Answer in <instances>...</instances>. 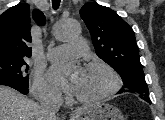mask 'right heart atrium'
I'll list each match as a JSON object with an SVG mask.
<instances>
[{"label":"right heart atrium","mask_w":165,"mask_h":120,"mask_svg":"<svg viewBox=\"0 0 165 120\" xmlns=\"http://www.w3.org/2000/svg\"><path fill=\"white\" fill-rule=\"evenodd\" d=\"M32 92L40 100L59 101L61 100L60 92L50 85L40 74L34 78Z\"/></svg>","instance_id":"obj_1"}]
</instances>
